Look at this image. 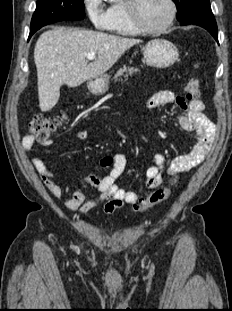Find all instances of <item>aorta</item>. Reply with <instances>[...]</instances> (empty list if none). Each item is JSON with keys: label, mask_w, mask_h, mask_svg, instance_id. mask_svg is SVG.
Wrapping results in <instances>:
<instances>
[{"label": "aorta", "mask_w": 232, "mask_h": 311, "mask_svg": "<svg viewBox=\"0 0 232 311\" xmlns=\"http://www.w3.org/2000/svg\"><path fill=\"white\" fill-rule=\"evenodd\" d=\"M107 1V0H106ZM109 2H117L118 0H108Z\"/></svg>", "instance_id": "aorta-1"}]
</instances>
